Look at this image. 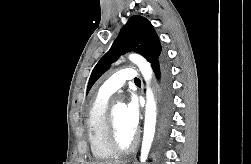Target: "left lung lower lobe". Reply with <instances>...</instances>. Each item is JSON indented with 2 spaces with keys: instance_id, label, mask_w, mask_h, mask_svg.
I'll return each instance as SVG.
<instances>
[{
  "instance_id": "left-lung-lower-lobe-1",
  "label": "left lung lower lobe",
  "mask_w": 251,
  "mask_h": 164,
  "mask_svg": "<svg viewBox=\"0 0 251 164\" xmlns=\"http://www.w3.org/2000/svg\"><path fill=\"white\" fill-rule=\"evenodd\" d=\"M157 78L159 80L161 96H162V103H163V110H164V117L165 120L168 122L171 115V80L169 69L167 63L164 59L160 60V62L156 63L153 67Z\"/></svg>"
}]
</instances>
